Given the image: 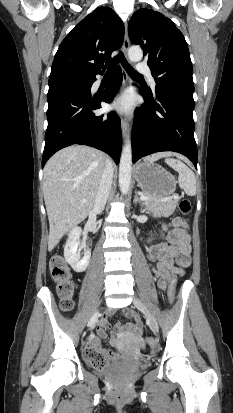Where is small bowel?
I'll return each instance as SVG.
<instances>
[{"label": "small bowel", "mask_w": 233, "mask_h": 413, "mask_svg": "<svg viewBox=\"0 0 233 413\" xmlns=\"http://www.w3.org/2000/svg\"><path fill=\"white\" fill-rule=\"evenodd\" d=\"M162 231L165 236V241L151 245L148 252V259L151 270L157 279L158 287L164 291L168 284L175 280V276H182L184 269L189 267L191 263V248L185 223L181 219H175L170 225L164 226ZM112 314V311L108 312V314L100 320L96 333L89 336L85 349L86 359L96 353H105L107 357H116L113 353L104 351L100 345V338L107 336L106 328L110 326L107 318ZM124 315L132 319V322L125 324L118 323L116 328L120 334H128V347L124 356H135L144 346V342L140 337L143 324L139 315L130 309H125ZM119 345L121 344L119 343Z\"/></svg>", "instance_id": "c3829d8e"}]
</instances>
